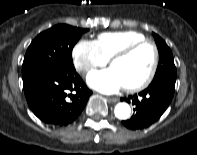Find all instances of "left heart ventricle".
Here are the masks:
<instances>
[{"mask_svg": "<svg viewBox=\"0 0 197 155\" xmlns=\"http://www.w3.org/2000/svg\"><path fill=\"white\" fill-rule=\"evenodd\" d=\"M152 63L153 50L146 45L129 56L114 61L112 68L119 74L124 86H131L138 84L147 76Z\"/></svg>", "mask_w": 197, "mask_h": 155, "instance_id": "b2bd125f", "label": "left heart ventricle"}]
</instances>
